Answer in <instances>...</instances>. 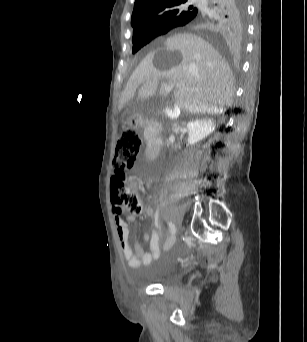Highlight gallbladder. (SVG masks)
Masks as SVG:
<instances>
[{
    "mask_svg": "<svg viewBox=\"0 0 307 342\" xmlns=\"http://www.w3.org/2000/svg\"><path fill=\"white\" fill-rule=\"evenodd\" d=\"M171 117L172 118H179L180 117V108L179 107H172L171 108Z\"/></svg>",
    "mask_w": 307,
    "mask_h": 342,
    "instance_id": "bac80fb5",
    "label": "gallbladder"
}]
</instances>
